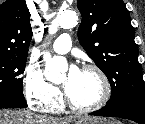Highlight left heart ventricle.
<instances>
[{"mask_svg":"<svg viewBox=\"0 0 145 124\" xmlns=\"http://www.w3.org/2000/svg\"><path fill=\"white\" fill-rule=\"evenodd\" d=\"M69 73L61 77V83L71 101L78 106H88L96 103L102 94L99 77L93 72L79 71L77 77L68 84ZM68 85V88L66 87Z\"/></svg>","mask_w":145,"mask_h":124,"instance_id":"obj_1","label":"left heart ventricle"}]
</instances>
